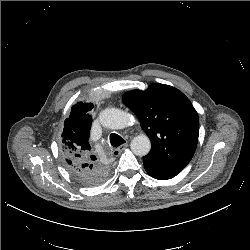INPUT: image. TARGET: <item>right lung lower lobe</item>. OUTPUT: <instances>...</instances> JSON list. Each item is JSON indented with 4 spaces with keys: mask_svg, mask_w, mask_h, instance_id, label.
<instances>
[{
    "mask_svg": "<svg viewBox=\"0 0 250 250\" xmlns=\"http://www.w3.org/2000/svg\"><path fill=\"white\" fill-rule=\"evenodd\" d=\"M71 175L79 181L81 184L86 186H96L103 183L109 176L108 171H88V170H75L67 167Z\"/></svg>",
    "mask_w": 250,
    "mask_h": 250,
    "instance_id": "obj_1",
    "label": "right lung lower lobe"
}]
</instances>
